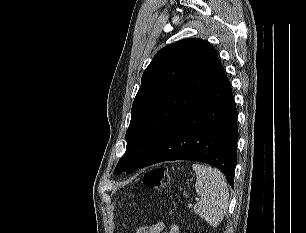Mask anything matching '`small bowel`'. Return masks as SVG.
I'll return each mask as SVG.
<instances>
[{
  "mask_svg": "<svg viewBox=\"0 0 306 233\" xmlns=\"http://www.w3.org/2000/svg\"><path fill=\"white\" fill-rule=\"evenodd\" d=\"M164 222H157L152 225H144L136 230V233H180L179 227L171 224L167 232H164Z\"/></svg>",
  "mask_w": 306,
  "mask_h": 233,
  "instance_id": "obj_1",
  "label": "small bowel"
}]
</instances>
